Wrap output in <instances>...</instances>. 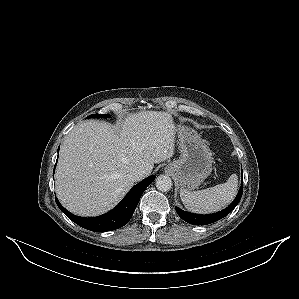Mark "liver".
I'll return each mask as SVG.
<instances>
[{"label":"liver","instance_id":"6515ba94","mask_svg":"<svg viewBox=\"0 0 299 299\" xmlns=\"http://www.w3.org/2000/svg\"><path fill=\"white\" fill-rule=\"evenodd\" d=\"M176 126L170 114H128L119 128L88 120L64 138L55 173L61 204L84 217L106 213L132 188L133 169L150 175L155 163L174 155Z\"/></svg>","mask_w":299,"mask_h":299}]
</instances>
